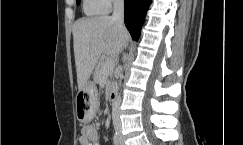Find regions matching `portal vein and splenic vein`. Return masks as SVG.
I'll list each match as a JSON object with an SVG mask.
<instances>
[{"label": "portal vein and splenic vein", "instance_id": "obj_1", "mask_svg": "<svg viewBox=\"0 0 243 145\" xmlns=\"http://www.w3.org/2000/svg\"><path fill=\"white\" fill-rule=\"evenodd\" d=\"M114 66V60L111 57H108L106 59L104 71L111 69Z\"/></svg>", "mask_w": 243, "mask_h": 145}]
</instances>
